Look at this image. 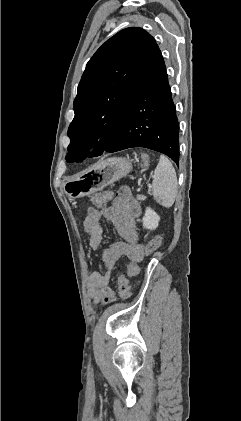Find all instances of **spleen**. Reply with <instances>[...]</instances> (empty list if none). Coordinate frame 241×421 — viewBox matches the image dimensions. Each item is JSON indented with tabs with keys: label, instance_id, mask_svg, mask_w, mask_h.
<instances>
[{
	"label": "spleen",
	"instance_id": "obj_1",
	"mask_svg": "<svg viewBox=\"0 0 241 421\" xmlns=\"http://www.w3.org/2000/svg\"><path fill=\"white\" fill-rule=\"evenodd\" d=\"M152 195L154 199L165 208H170L177 196V176L169 159L161 155L159 163L154 170L152 182Z\"/></svg>",
	"mask_w": 241,
	"mask_h": 421
}]
</instances>
